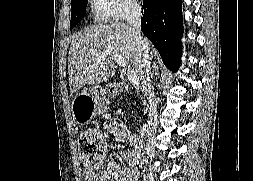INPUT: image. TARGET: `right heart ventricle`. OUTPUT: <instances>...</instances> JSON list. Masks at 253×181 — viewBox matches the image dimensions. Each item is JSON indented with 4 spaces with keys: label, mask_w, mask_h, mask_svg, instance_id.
<instances>
[{
    "label": "right heart ventricle",
    "mask_w": 253,
    "mask_h": 181,
    "mask_svg": "<svg viewBox=\"0 0 253 181\" xmlns=\"http://www.w3.org/2000/svg\"><path fill=\"white\" fill-rule=\"evenodd\" d=\"M90 15L95 22H107L110 20L108 6L105 0H89Z\"/></svg>",
    "instance_id": "obj_1"
}]
</instances>
